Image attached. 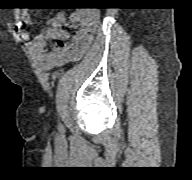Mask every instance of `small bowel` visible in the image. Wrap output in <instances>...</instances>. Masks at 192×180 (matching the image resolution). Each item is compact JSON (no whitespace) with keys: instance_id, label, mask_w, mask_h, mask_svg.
<instances>
[{"instance_id":"small-bowel-1","label":"small bowel","mask_w":192,"mask_h":180,"mask_svg":"<svg viewBox=\"0 0 192 180\" xmlns=\"http://www.w3.org/2000/svg\"><path fill=\"white\" fill-rule=\"evenodd\" d=\"M22 18L26 24L31 21L28 10L22 11ZM71 20L77 27L71 34L63 28L66 21L64 12H59L50 20L49 27L38 34L30 46L32 51L41 55L47 64H63L77 61L89 50L99 22V14L95 10H77L71 14ZM22 38L29 39L27 33ZM50 40L57 42L52 51L46 50V43Z\"/></svg>"}]
</instances>
